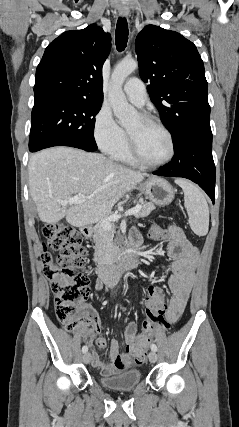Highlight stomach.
<instances>
[{"label":"stomach","instance_id":"0dacf381","mask_svg":"<svg viewBox=\"0 0 239 427\" xmlns=\"http://www.w3.org/2000/svg\"><path fill=\"white\" fill-rule=\"evenodd\" d=\"M142 194L158 206L169 205L175 195L173 187L164 179L152 177L138 186Z\"/></svg>","mask_w":239,"mask_h":427}]
</instances>
